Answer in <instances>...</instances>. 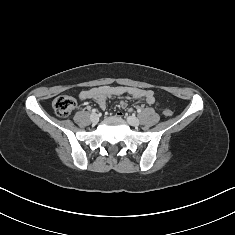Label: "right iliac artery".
Returning a JSON list of instances; mask_svg holds the SVG:
<instances>
[{"label":"right iliac artery","mask_w":235,"mask_h":235,"mask_svg":"<svg viewBox=\"0 0 235 235\" xmlns=\"http://www.w3.org/2000/svg\"><path fill=\"white\" fill-rule=\"evenodd\" d=\"M95 112H97V110H96V109H93V110H92V113H95Z\"/></svg>","instance_id":"82829eb1"}]
</instances>
